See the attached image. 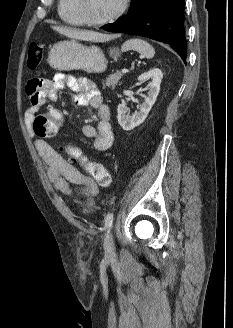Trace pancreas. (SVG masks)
Returning <instances> with one entry per match:
<instances>
[{
	"instance_id": "pancreas-1",
	"label": "pancreas",
	"mask_w": 233,
	"mask_h": 328,
	"mask_svg": "<svg viewBox=\"0 0 233 328\" xmlns=\"http://www.w3.org/2000/svg\"><path fill=\"white\" fill-rule=\"evenodd\" d=\"M122 76H123L122 73H120V72H116V73H114V74L109 75V76L105 79L104 83H105L106 86H108V87L114 89L115 86L117 85V83L119 82V80L121 79Z\"/></svg>"
}]
</instances>
